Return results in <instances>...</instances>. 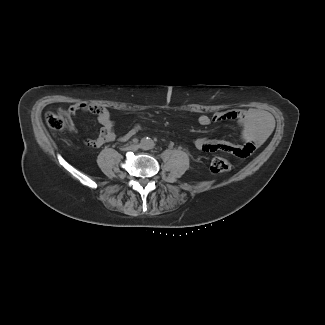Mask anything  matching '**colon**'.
<instances>
[{
    "instance_id": "colon-1",
    "label": "colon",
    "mask_w": 325,
    "mask_h": 325,
    "mask_svg": "<svg viewBox=\"0 0 325 325\" xmlns=\"http://www.w3.org/2000/svg\"><path fill=\"white\" fill-rule=\"evenodd\" d=\"M48 127L55 132H64L67 128L66 119L54 112H48L45 116ZM232 168L231 163L220 156H214L210 161V170L213 173H225Z\"/></svg>"
}]
</instances>
